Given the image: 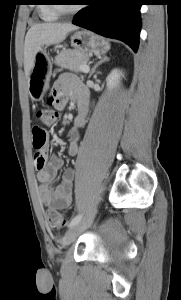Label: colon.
Listing matches in <instances>:
<instances>
[{
    "label": "colon",
    "mask_w": 181,
    "mask_h": 300,
    "mask_svg": "<svg viewBox=\"0 0 181 300\" xmlns=\"http://www.w3.org/2000/svg\"><path fill=\"white\" fill-rule=\"evenodd\" d=\"M51 98L48 99L50 103ZM58 118L57 112L52 109H38L35 111V119L42 125H51ZM48 141V134L40 125L34 126L32 130V146L35 150V164L37 168L42 167L45 164V157L42 155V151ZM47 224L52 229H61L66 225L65 216L54 209H49L45 213Z\"/></svg>",
    "instance_id": "1"
}]
</instances>
